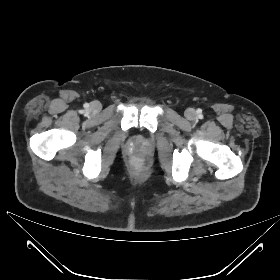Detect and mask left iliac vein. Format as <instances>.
Here are the masks:
<instances>
[{
    "instance_id": "left-iliac-vein-1",
    "label": "left iliac vein",
    "mask_w": 280,
    "mask_h": 280,
    "mask_svg": "<svg viewBox=\"0 0 280 280\" xmlns=\"http://www.w3.org/2000/svg\"><path fill=\"white\" fill-rule=\"evenodd\" d=\"M185 116L186 118H188L189 120H192L196 117V113L193 109L189 108L185 111Z\"/></svg>"
}]
</instances>
